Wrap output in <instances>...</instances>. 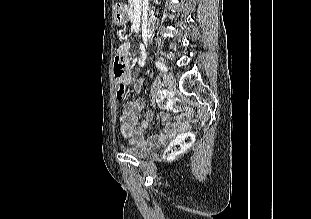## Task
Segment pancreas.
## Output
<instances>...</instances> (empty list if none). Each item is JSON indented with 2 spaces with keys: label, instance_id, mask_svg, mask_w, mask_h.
<instances>
[{
  "label": "pancreas",
  "instance_id": "pancreas-1",
  "mask_svg": "<svg viewBox=\"0 0 311 219\" xmlns=\"http://www.w3.org/2000/svg\"><path fill=\"white\" fill-rule=\"evenodd\" d=\"M134 0H129V6H128V15L130 17V19H133V15H134Z\"/></svg>",
  "mask_w": 311,
  "mask_h": 219
}]
</instances>
